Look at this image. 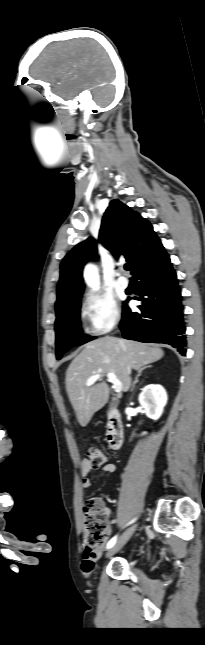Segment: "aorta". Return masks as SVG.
Returning <instances> with one entry per match:
<instances>
[{
    "instance_id": "762f6f07",
    "label": "aorta",
    "mask_w": 205,
    "mask_h": 645,
    "mask_svg": "<svg viewBox=\"0 0 205 645\" xmlns=\"http://www.w3.org/2000/svg\"><path fill=\"white\" fill-rule=\"evenodd\" d=\"M84 277L87 284L94 290L98 289V276L97 271L93 265H88L85 268Z\"/></svg>"
}]
</instances>
